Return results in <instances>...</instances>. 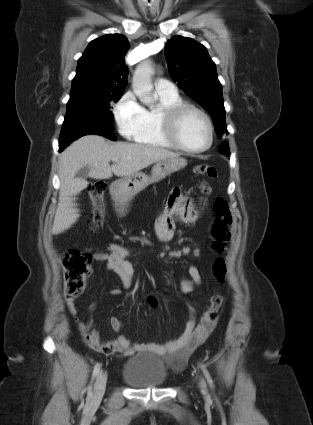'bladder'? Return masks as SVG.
I'll use <instances>...</instances> for the list:
<instances>
[{"mask_svg": "<svg viewBox=\"0 0 313 425\" xmlns=\"http://www.w3.org/2000/svg\"><path fill=\"white\" fill-rule=\"evenodd\" d=\"M121 378L132 388H158L168 381V373L162 359L153 354H140L128 358Z\"/></svg>", "mask_w": 313, "mask_h": 425, "instance_id": "31cf9c89", "label": "bladder"}]
</instances>
